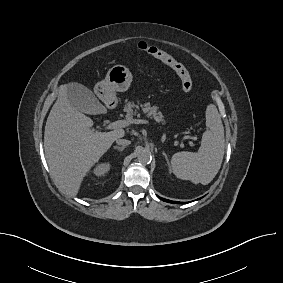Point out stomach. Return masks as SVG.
<instances>
[{
  "label": "stomach",
  "mask_w": 283,
  "mask_h": 283,
  "mask_svg": "<svg viewBox=\"0 0 283 283\" xmlns=\"http://www.w3.org/2000/svg\"><path fill=\"white\" fill-rule=\"evenodd\" d=\"M133 75L123 65H115L109 69L104 80L98 82L94 87L95 94L107 105L116 101L115 92L128 90Z\"/></svg>",
  "instance_id": "0dacf381"
}]
</instances>
